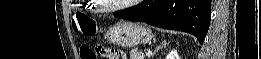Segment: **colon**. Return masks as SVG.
<instances>
[{"instance_id":"colon-1","label":"colon","mask_w":261,"mask_h":59,"mask_svg":"<svg viewBox=\"0 0 261 59\" xmlns=\"http://www.w3.org/2000/svg\"><path fill=\"white\" fill-rule=\"evenodd\" d=\"M72 26L76 33L82 34L86 37L95 36L97 31L95 20L82 14L74 15ZM116 56L117 53L102 45H96L94 49H91L88 46H83L80 49L81 59H116Z\"/></svg>"}]
</instances>
